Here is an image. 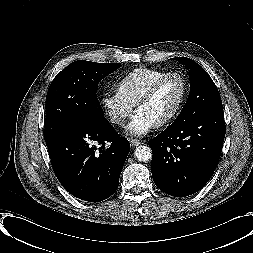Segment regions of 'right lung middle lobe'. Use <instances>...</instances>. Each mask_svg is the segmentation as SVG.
Instances as JSON below:
<instances>
[{"instance_id":"right-lung-middle-lobe-1","label":"right lung middle lobe","mask_w":253,"mask_h":253,"mask_svg":"<svg viewBox=\"0 0 253 253\" xmlns=\"http://www.w3.org/2000/svg\"><path fill=\"white\" fill-rule=\"evenodd\" d=\"M120 66L78 60L56 75L46 96V142L75 122L107 121L97 99V87L100 80Z\"/></svg>"}]
</instances>
